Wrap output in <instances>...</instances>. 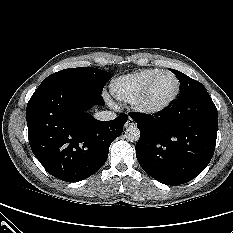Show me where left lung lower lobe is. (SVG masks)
Instances as JSON below:
<instances>
[{
    "instance_id": "0a47b994",
    "label": "left lung lower lobe",
    "mask_w": 233,
    "mask_h": 233,
    "mask_svg": "<svg viewBox=\"0 0 233 233\" xmlns=\"http://www.w3.org/2000/svg\"><path fill=\"white\" fill-rule=\"evenodd\" d=\"M130 116L140 130L137 160L157 181L166 185L189 182L212 159L218 113L206 89L180 97L164 114Z\"/></svg>"
}]
</instances>
